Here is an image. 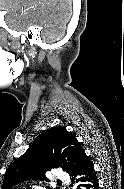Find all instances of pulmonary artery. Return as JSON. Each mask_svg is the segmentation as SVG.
Wrapping results in <instances>:
<instances>
[{"label": "pulmonary artery", "instance_id": "obj_1", "mask_svg": "<svg viewBox=\"0 0 124 189\" xmlns=\"http://www.w3.org/2000/svg\"><path fill=\"white\" fill-rule=\"evenodd\" d=\"M55 178L62 180L64 182L68 181V175L64 171H62L61 169H56Z\"/></svg>", "mask_w": 124, "mask_h": 189}]
</instances>
